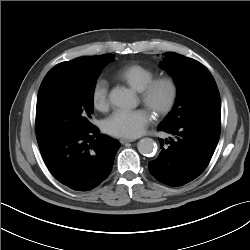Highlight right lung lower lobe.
Wrapping results in <instances>:
<instances>
[{
	"instance_id": "right-lung-lower-lobe-1",
	"label": "right lung lower lobe",
	"mask_w": 250,
	"mask_h": 250,
	"mask_svg": "<svg viewBox=\"0 0 250 250\" xmlns=\"http://www.w3.org/2000/svg\"><path fill=\"white\" fill-rule=\"evenodd\" d=\"M42 158L50 173L75 191H89L110 174L120 143L97 127L75 134L38 139Z\"/></svg>"
}]
</instances>
